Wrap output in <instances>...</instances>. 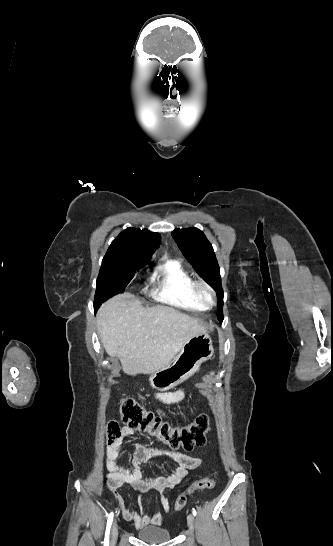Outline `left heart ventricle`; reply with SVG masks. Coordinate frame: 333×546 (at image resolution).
Here are the masks:
<instances>
[{"instance_id": "obj_1", "label": "left heart ventricle", "mask_w": 333, "mask_h": 546, "mask_svg": "<svg viewBox=\"0 0 333 546\" xmlns=\"http://www.w3.org/2000/svg\"><path fill=\"white\" fill-rule=\"evenodd\" d=\"M202 294H203V296H204L206 299H209V298H210V294H209L208 291L202 290Z\"/></svg>"}]
</instances>
